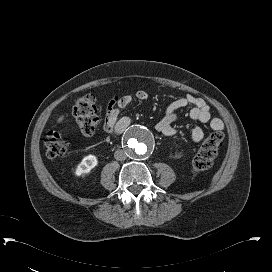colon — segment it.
Returning a JSON list of instances; mask_svg holds the SVG:
<instances>
[{"mask_svg": "<svg viewBox=\"0 0 272 272\" xmlns=\"http://www.w3.org/2000/svg\"><path fill=\"white\" fill-rule=\"evenodd\" d=\"M73 117L83 135L91 136L94 134L99 117L93 95L87 94L76 100L73 107ZM222 141L223 134L220 131L214 132L203 141L193 159L192 167L194 171H204L212 165ZM45 146L47 154L52 158L64 156L69 151L68 141L58 131H50L46 134Z\"/></svg>", "mask_w": 272, "mask_h": 272, "instance_id": "colon-1", "label": "colon"}]
</instances>
